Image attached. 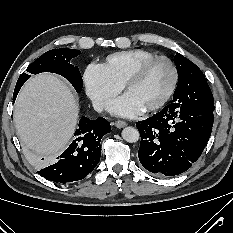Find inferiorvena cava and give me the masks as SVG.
Segmentation results:
<instances>
[{
    "label": "inferior vena cava",
    "instance_id": "inferior-vena-cava-1",
    "mask_svg": "<svg viewBox=\"0 0 233 233\" xmlns=\"http://www.w3.org/2000/svg\"><path fill=\"white\" fill-rule=\"evenodd\" d=\"M93 107H94L95 111L101 112V111H103L105 104L103 102H100V101H95L93 103Z\"/></svg>",
    "mask_w": 233,
    "mask_h": 233
}]
</instances>
